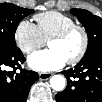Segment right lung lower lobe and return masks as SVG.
Returning <instances> with one entry per match:
<instances>
[{
  "instance_id": "98d812e1",
  "label": "right lung lower lobe",
  "mask_w": 102,
  "mask_h": 102,
  "mask_svg": "<svg viewBox=\"0 0 102 102\" xmlns=\"http://www.w3.org/2000/svg\"><path fill=\"white\" fill-rule=\"evenodd\" d=\"M25 58L18 48L16 50L0 49V101L25 102L31 86L39 79L38 73L21 68ZM5 66L13 71L1 70ZM20 69V72H16Z\"/></svg>"
}]
</instances>
